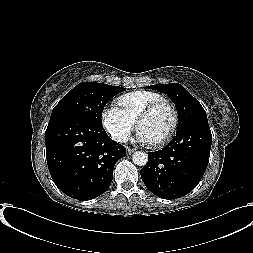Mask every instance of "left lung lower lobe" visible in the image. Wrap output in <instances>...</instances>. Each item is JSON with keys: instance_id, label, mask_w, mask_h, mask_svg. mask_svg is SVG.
Listing matches in <instances>:
<instances>
[{"instance_id": "0a47b994", "label": "left lung lower lobe", "mask_w": 253, "mask_h": 253, "mask_svg": "<svg viewBox=\"0 0 253 253\" xmlns=\"http://www.w3.org/2000/svg\"><path fill=\"white\" fill-rule=\"evenodd\" d=\"M211 143L208 122H191L178 128L165 148L148 153V162L141 169L145 186L163 199L187 195L205 173Z\"/></svg>"}]
</instances>
